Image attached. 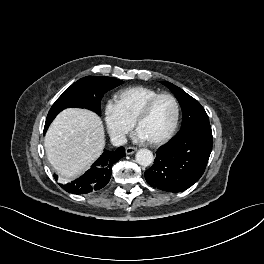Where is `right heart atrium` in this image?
Masks as SVG:
<instances>
[{
    "mask_svg": "<svg viewBox=\"0 0 264 264\" xmlns=\"http://www.w3.org/2000/svg\"><path fill=\"white\" fill-rule=\"evenodd\" d=\"M104 121L111 138L117 143L125 140L134 125L113 102H108L104 107Z\"/></svg>",
    "mask_w": 264,
    "mask_h": 264,
    "instance_id": "d8ad5b80",
    "label": "right heart atrium"
}]
</instances>
